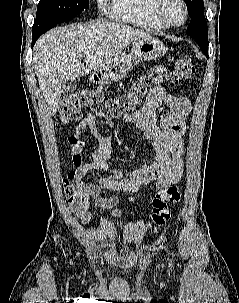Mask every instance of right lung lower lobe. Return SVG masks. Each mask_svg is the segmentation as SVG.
Masks as SVG:
<instances>
[{"label":"right lung lower lobe","instance_id":"98d812e1","mask_svg":"<svg viewBox=\"0 0 239 303\" xmlns=\"http://www.w3.org/2000/svg\"><path fill=\"white\" fill-rule=\"evenodd\" d=\"M46 31L39 30V31H32V47L35 44L36 40Z\"/></svg>","mask_w":239,"mask_h":303}]
</instances>
